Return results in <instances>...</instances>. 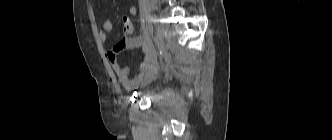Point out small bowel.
<instances>
[{"instance_id": "obj_1", "label": "small bowel", "mask_w": 332, "mask_h": 140, "mask_svg": "<svg viewBox=\"0 0 332 140\" xmlns=\"http://www.w3.org/2000/svg\"><path fill=\"white\" fill-rule=\"evenodd\" d=\"M137 13V8L132 6L129 8V14L134 16ZM113 31V23L106 20L102 23L98 32L99 39L102 42H106L108 34ZM141 49L143 53L142 62L140 65V73L135 76H131L129 67H121L118 63V54L122 51L131 49ZM108 61L116 75L118 82L126 89H135L139 86L147 83L153 76V59L152 49L147 38L142 36H124L118 43H116L112 49L107 52Z\"/></svg>"}]
</instances>
